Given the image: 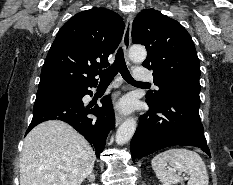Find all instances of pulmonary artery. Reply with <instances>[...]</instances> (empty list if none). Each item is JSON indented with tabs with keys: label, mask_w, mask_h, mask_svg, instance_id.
Instances as JSON below:
<instances>
[{
	"label": "pulmonary artery",
	"mask_w": 233,
	"mask_h": 185,
	"mask_svg": "<svg viewBox=\"0 0 233 185\" xmlns=\"http://www.w3.org/2000/svg\"><path fill=\"white\" fill-rule=\"evenodd\" d=\"M135 78L142 82H153V75L145 68L135 69Z\"/></svg>",
	"instance_id": "pulmonary-artery-1"
}]
</instances>
